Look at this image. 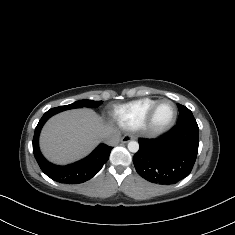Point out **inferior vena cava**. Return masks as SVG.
Segmentation results:
<instances>
[{
	"mask_svg": "<svg viewBox=\"0 0 235 235\" xmlns=\"http://www.w3.org/2000/svg\"><path fill=\"white\" fill-rule=\"evenodd\" d=\"M101 139L105 144L115 147L119 143L120 133L114 130H109L101 135Z\"/></svg>",
	"mask_w": 235,
	"mask_h": 235,
	"instance_id": "inferior-vena-cava-1",
	"label": "inferior vena cava"
}]
</instances>
